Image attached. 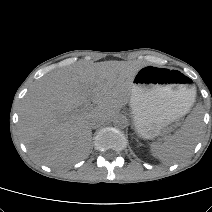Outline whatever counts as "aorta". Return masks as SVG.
<instances>
[{"label":"aorta","instance_id":"aorta-1","mask_svg":"<svg viewBox=\"0 0 212 212\" xmlns=\"http://www.w3.org/2000/svg\"><path fill=\"white\" fill-rule=\"evenodd\" d=\"M127 124H128L127 118L123 115H118L113 120V125L116 128L123 129L127 126Z\"/></svg>","mask_w":212,"mask_h":212}]
</instances>
